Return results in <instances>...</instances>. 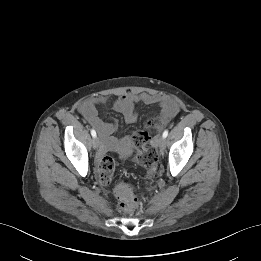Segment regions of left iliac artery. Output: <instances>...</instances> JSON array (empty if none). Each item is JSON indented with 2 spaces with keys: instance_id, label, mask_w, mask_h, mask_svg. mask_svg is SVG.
Wrapping results in <instances>:
<instances>
[{
  "instance_id": "44dca946",
  "label": "left iliac artery",
  "mask_w": 261,
  "mask_h": 261,
  "mask_svg": "<svg viewBox=\"0 0 261 261\" xmlns=\"http://www.w3.org/2000/svg\"><path fill=\"white\" fill-rule=\"evenodd\" d=\"M167 136H168V130H165V131L163 132V137L166 138Z\"/></svg>"
}]
</instances>
